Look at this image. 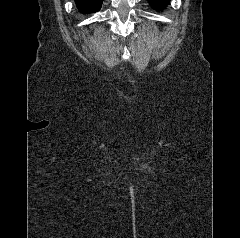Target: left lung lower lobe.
<instances>
[{"instance_id":"0a47b994","label":"left lung lower lobe","mask_w":240,"mask_h":238,"mask_svg":"<svg viewBox=\"0 0 240 238\" xmlns=\"http://www.w3.org/2000/svg\"><path fill=\"white\" fill-rule=\"evenodd\" d=\"M170 0H148V2L150 3V5L157 10H162V8H164Z\"/></svg>"}]
</instances>
